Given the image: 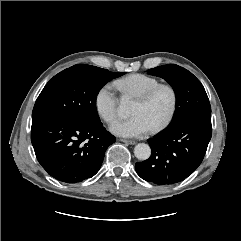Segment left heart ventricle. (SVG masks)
<instances>
[{
  "instance_id": "obj_1",
  "label": "left heart ventricle",
  "mask_w": 241,
  "mask_h": 241,
  "mask_svg": "<svg viewBox=\"0 0 241 241\" xmlns=\"http://www.w3.org/2000/svg\"><path fill=\"white\" fill-rule=\"evenodd\" d=\"M170 104L169 93L162 91L148 103L143 104L135 100L131 108V115H142L152 128L166 116Z\"/></svg>"
}]
</instances>
